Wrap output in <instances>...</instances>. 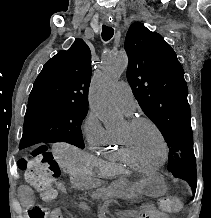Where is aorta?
<instances>
[{"instance_id": "aorta-1", "label": "aorta", "mask_w": 211, "mask_h": 218, "mask_svg": "<svg viewBox=\"0 0 211 218\" xmlns=\"http://www.w3.org/2000/svg\"><path fill=\"white\" fill-rule=\"evenodd\" d=\"M127 65L128 57L124 53L106 56L91 81L90 107L110 130H117L122 126V116L113 101V88Z\"/></svg>"}]
</instances>
